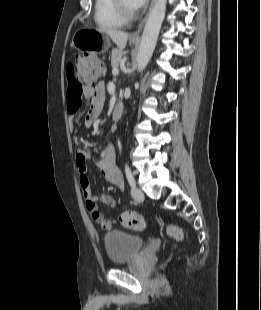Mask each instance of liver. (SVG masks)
Listing matches in <instances>:
<instances>
[{"label":"liver","mask_w":261,"mask_h":310,"mask_svg":"<svg viewBox=\"0 0 261 310\" xmlns=\"http://www.w3.org/2000/svg\"><path fill=\"white\" fill-rule=\"evenodd\" d=\"M98 31L107 34L120 50H123L126 47L128 33L124 31L103 28L98 29Z\"/></svg>","instance_id":"liver-1"}]
</instances>
